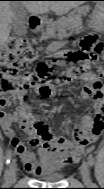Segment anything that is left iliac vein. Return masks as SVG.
I'll return each mask as SVG.
<instances>
[{
  "label": "left iliac vein",
  "mask_w": 104,
  "mask_h": 189,
  "mask_svg": "<svg viewBox=\"0 0 104 189\" xmlns=\"http://www.w3.org/2000/svg\"><path fill=\"white\" fill-rule=\"evenodd\" d=\"M81 178L85 185L90 186L92 184L90 179V170H89V164L87 162H84L81 167Z\"/></svg>",
  "instance_id": "obj_1"
}]
</instances>
